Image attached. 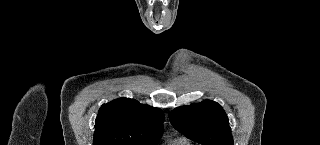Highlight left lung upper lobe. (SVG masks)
<instances>
[{
  "instance_id": "1",
  "label": "left lung upper lobe",
  "mask_w": 320,
  "mask_h": 145,
  "mask_svg": "<svg viewBox=\"0 0 320 145\" xmlns=\"http://www.w3.org/2000/svg\"><path fill=\"white\" fill-rule=\"evenodd\" d=\"M169 119L179 132L202 145H233L227 115L214 101L175 108Z\"/></svg>"
}]
</instances>
